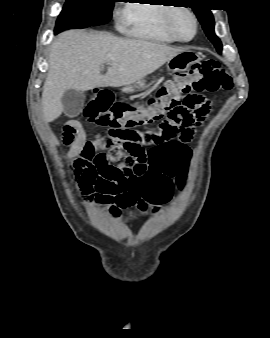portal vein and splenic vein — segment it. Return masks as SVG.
Segmentation results:
<instances>
[{
	"label": "portal vein and splenic vein",
	"instance_id": "portal-vein-and-splenic-vein-1",
	"mask_svg": "<svg viewBox=\"0 0 270 338\" xmlns=\"http://www.w3.org/2000/svg\"><path fill=\"white\" fill-rule=\"evenodd\" d=\"M109 65H115V64H112V63H108Z\"/></svg>",
	"mask_w": 270,
	"mask_h": 338
}]
</instances>
